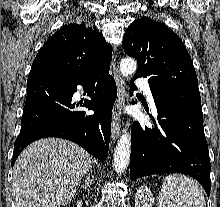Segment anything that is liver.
<instances>
[{
    "label": "liver",
    "mask_w": 220,
    "mask_h": 207,
    "mask_svg": "<svg viewBox=\"0 0 220 207\" xmlns=\"http://www.w3.org/2000/svg\"><path fill=\"white\" fill-rule=\"evenodd\" d=\"M91 166V156L73 142L59 138L33 142L21 152L13 168L16 207L67 205Z\"/></svg>",
    "instance_id": "6515ba94"
}]
</instances>
